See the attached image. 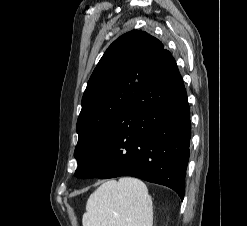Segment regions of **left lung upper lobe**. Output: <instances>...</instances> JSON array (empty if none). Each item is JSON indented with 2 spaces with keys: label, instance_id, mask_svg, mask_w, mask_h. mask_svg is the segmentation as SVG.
<instances>
[{
  "label": "left lung upper lobe",
  "instance_id": "left-lung-upper-lobe-1",
  "mask_svg": "<svg viewBox=\"0 0 247 226\" xmlns=\"http://www.w3.org/2000/svg\"><path fill=\"white\" fill-rule=\"evenodd\" d=\"M164 50L157 38L141 30L127 32L106 50L94 69L82 98L77 120L75 176L125 111L145 74Z\"/></svg>",
  "mask_w": 247,
  "mask_h": 226
}]
</instances>
